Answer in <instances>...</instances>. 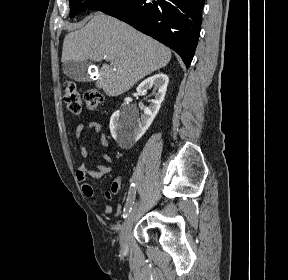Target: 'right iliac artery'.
Instances as JSON below:
<instances>
[{
	"mask_svg": "<svg viewBox=\"0 0 288 280\" xmlns=\"http://www.w3.org/2000/svg\"><path fill=\"white\" fill-rule=\"evenodd\" d=\"M136 196V188L135 184H131L129 192H128V197L126 200L125 208H124V214L123 217H127L128 213L130 212L132 205L134 203Z\"/></svg>",
	"mask_w": 288,
	"mask_h": 280,
	"instance_id": "1",
	"label": "right iliac artery"
}]
</instances>
